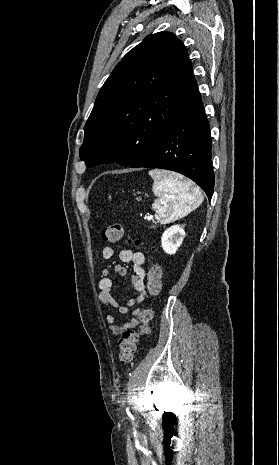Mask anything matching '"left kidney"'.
Segmentation results:
<instances>
[{
    "instance_id": "5707ae66",
    "label": "left kidney",
    "mask_w": 279,
    "mask_h": 465,
    "mask_svg": "<svg viewBox=\"0 0 279 465\" xmlns=\"http://www.w3.org/2000/svg\"><path fill=\"white\" fill-rule=\"evenodd\" d=\"M185 231L180 225H173L167 228L161 237V245L167 254H174L182 244Z\"/></svg>"
}]
</instances>
